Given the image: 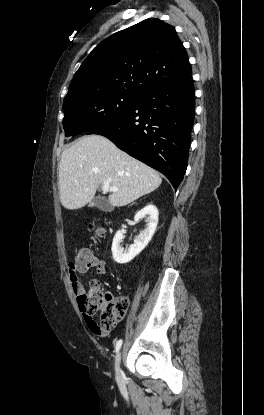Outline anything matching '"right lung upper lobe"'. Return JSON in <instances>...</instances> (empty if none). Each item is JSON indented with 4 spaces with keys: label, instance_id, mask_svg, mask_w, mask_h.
Masks as SVG:
<instances>
[{
    "label": "right lung upper lobe",
    "instance_id": "obj_1",
    "mask_svg": "<svg viewBox=\"0 0 264 415\" xmlns=\"http://www.w3.org/2000/svg\"><path fill=\"white\" fill-rule=\"evenodd\" d=\"M192 73L173 26L143 20L103 40L84 60L64 100L107 92L141 96Z\"/></svg>",
    "mask_w": 264,
    "mask_h": 415
}]
</instances>
